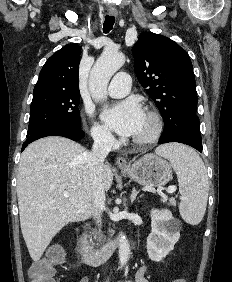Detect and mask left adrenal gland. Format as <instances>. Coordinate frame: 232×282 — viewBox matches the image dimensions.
Listing matches in <instances>:
<instances>
[{
  "mask_svg": "<svg viewBox=\"0 0 232 282\" xmlns=\"http://www.w3.org/2000/svg\"><path fill=\"white\" fill-rule=\"evenodd\" d=\"M137 194H138V191H136V189L133 188V189H132L131 196H130V201H131V203H133V202L135 201Z\"/></svg>",
  "mask_w": 232,
  "mask_h": 282,
  "instance_id": "1",
  "label": "left adrenal gland"
}]
</instances>
